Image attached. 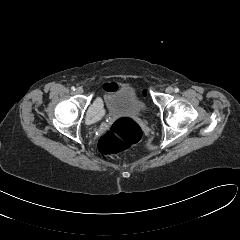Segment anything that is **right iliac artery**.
Returning a JSON list of instances; mask_svg holds the SVG:
<instances>
[{"label": "right iliac artery", "mask_w": 240, "mask_h": 240, "mask_svg": "<svg viewBox=\"0 0 240 240\" xmlns=\"http://www.w3.org/2000/svg\"><path fill=\"white\" fill-rule=\"evenodd\" d=\"M71 90H73V91H74V90H75V87H74V86H73V87H71Z\"/></svg>", "instance_id": "obj_1"}]
</instances>
